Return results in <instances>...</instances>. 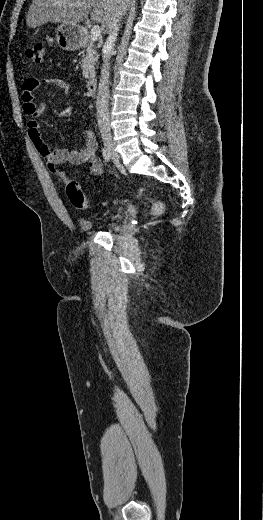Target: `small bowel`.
Masks as SVG:
<instances>
[{
    "mask_svg": "<svg viewBox=\"0 0 263 520\" xmlns=\"http://www.w3.org/2000/svg\"><path fill=\"white\" fill-rule=\"evenodd\" d=\"M42 85L53 86L62 94L70 92V85L61 79H38L28 78L22 85V102L25 115L28 117L27 130L30 140L35 146L40 156L44 159L47 167L55 173L62 181H65L67 174L57 169L60 164H88L91 174L99 176L102 173L103 165L100 158L96 155L98 148L97 138L92 130H84L80 136V145L75 149H55L51 150L47 142L43 139L40 124L37 118L40 117L45 106L42 103H35L34 93Z\"/></svg>",
    "mask_w": 263,
    "mask_h": 520,
    "instance_id": "1",
    "label": "small bowel"
}]
</instances>
